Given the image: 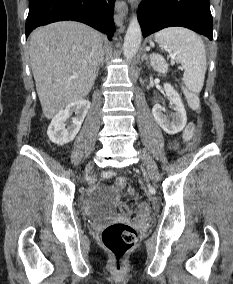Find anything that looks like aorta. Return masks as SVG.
I'll use <instances>...</instances> for the list:
<instances>
[{
	"instance_id": "aorta-1",
	"label": "aorta",
	"mask_w": 233,
	"mask_h": 284,
	"mask_svg": "<svg viewBox=\"0 0 233 284\" xmlns=\"http://www.w3.org/2000/svg\"><path fill=\"white\" fill-rule=\"evenodd\" d=\"M141 39V28L137 17L133 15L127 28L123 44V53L127 59H130L136 55L141 44Z\"/></svg>"
}]
</instances>
